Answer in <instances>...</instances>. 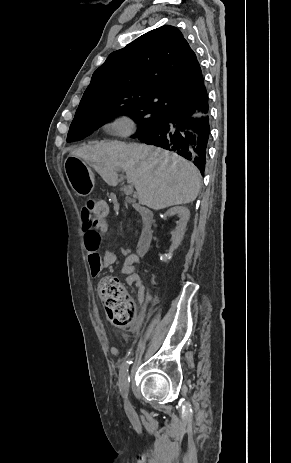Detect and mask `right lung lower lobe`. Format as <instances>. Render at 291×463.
Returning a JSON list of instances; mask_svg holds the SVG:
<instances>
[{"instance_id":"right-lung-lower-lobe-1","label":"right lung lower lobe","mask_w":291,"mask_h":463,"mask_svg":"<svg viewBox=\"0 0 291 463\" xmlns=\"http://www.w3.org/2000/svg\"><path fill=\"white\" fill-rule=\"evenodd\" d=\"M203 86L205 87L204 81ZM210 130L206 94L203 101L193 109H172L164 113L161 124L140 135L138 139L146 144L174 151L194 163L204 175Z\"/></svg>"}]
</instances>
